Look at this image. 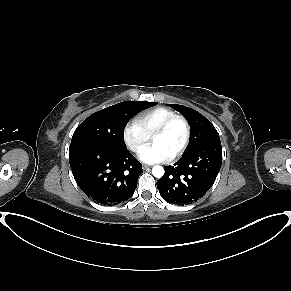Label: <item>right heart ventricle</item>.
<instances>
[{
    "instance_id": "right-heart-ventricle-1",
    "label": "right heart ventricle",
    "mask_w": 291,
    "mask_h": 291,
    "mask_svg": "<svg viewBox=\"0 0 291 291\" xmlns=\"http://www.w3.org/2000/svg\"><path fill=\"white\" fill-rule=\"evenodd\" d=\"M174 115H176V113L171 109L157 107L141 112L136 116L135 120L149 135H152L165 120Z\"/></svg>"
}]
</instances>
